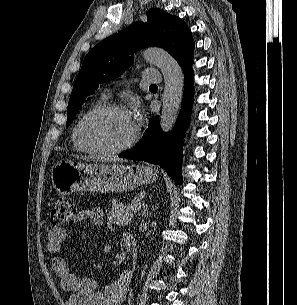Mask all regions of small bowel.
I'll list each match as a JSON object with an SVG mask.
<instances>
[{
	"mask_svg": "<svg viewBox=\"0 0 297 305\" xmlns=\"http://www.w3.org/2000/svg\"><path fill=\"white\" fill-rule=\"evenodd\" d=\"M88 221L94 226H100L104 222V212L100 208L80 211L75 223ZM67 232L64 227H51L48 233L47 248L54 255L52 268L60 280L61 287L69 293L68 305H122L126 294L133 281V272L123 271L118 278L101 288L97 281L86 276L74 273L66 258L62 255L63 244ZM112 246L106 243L101 251L110 253Z\"/></svg>",
	"mask_w": 297,
	"mask_h": 305,
	"instance_id": "c3829d8e",
	"label": "small bowel"
}]
</instances>
